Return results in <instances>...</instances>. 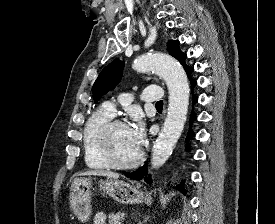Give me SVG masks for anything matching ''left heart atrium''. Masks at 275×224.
<instances>
[{"mask_svg": "<svg viewBox=\"0 0 275 224\" xmlns=\"http://www.w3.org/2000/svg\"><path fill=\"white\" fill-rule=\"evenodd\" d=\"M130 135L134 142L140 146L144 140L143 127L140 122H136L128 127Z\"/></svg>", "mask_w": 275, "mask_h": 224, "instance_id": "left-heart-atrium-1", "label": "left heart atrium"}]
</instances>
